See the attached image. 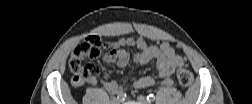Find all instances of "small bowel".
I'll return each mask as SVG.
<instances>
[{"mask_svg":"<svg viewBox=\"0 0 252 104\" xmlns=\"http://www.w3.org/2000/svg\"><path fill=\"white\" fill-rule=\"evenodd\" d=\"M117 46V49L111 55L105 57L106 62H116L119 67L123 68L128 64L131 57L127 47H137L139 51L133 56L134 61L138 64H147L155 59L158 76L161 84L164 86L173 84L172 75L174 71L184 64L183 58L175 53L174 49L168 43L149 45L143 37L133 38L125 36L117 41ZM83 83L95 85L97 78L91 75L81 84ZM101 83L110 94H119L123 90V87L115 80H102ZM154 84L155 80L152 77L144 76L137 79L133 85L136 89H144Z\"/></svg>","mask_w":252,"mask_h":104,"instance_id":"small-bowel-1","label":"small bowel"}]
</instances>
